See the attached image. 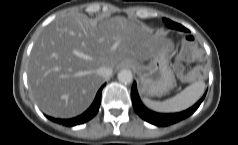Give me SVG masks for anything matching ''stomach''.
Returning a JSON list of instances; mask_svg holds the SVG:
<instances>
[{
	"mask_svg": "<svg viewBox=\"0 0 238 145\" xmlns=\"http://www.w3.org/2000/svg\"><path fill=\"white\" fill-rule=\"evenodd\" d=\"M173 45L165 41L162 50L147 65L140 64L137 71L140 92L145 96H162L175 84V76L170 66Z\"/></svg>",
	"mask_w": 238,
	"mask_h": 145,
	"instance_id": "0dacf381",
	"label": "stomach"
}]
</instances>
